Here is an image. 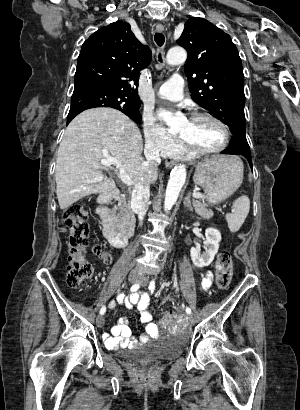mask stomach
<instances>
[{"instance_id": "1", "label": "stomach", "mask_w": 300, "mask_h": 410, "mask_svg": "<svg viewBox=\"0 0 300 410\" xmlns=\"http://www.w3.org/2000/svg\"><path fill=\"white\" fill-rule=\"evenodd\" d=\"M242 181L243 165L234 156H214L200 163L194 175V182L204 188L214 204L235 192Z\"/></svg>"}]
</instances>
